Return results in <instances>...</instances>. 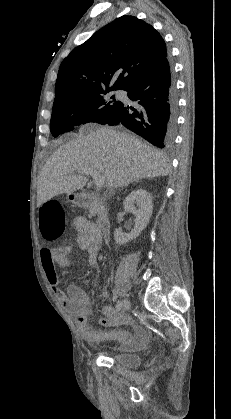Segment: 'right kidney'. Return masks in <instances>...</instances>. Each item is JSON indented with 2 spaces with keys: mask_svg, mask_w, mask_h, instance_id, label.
<instances>
[{
  "mask_svg": "<svg viewBox=\"0 0 231 419\" xmlns=\"http://www.w3.org/2000/svg\"><path fill=\"white\" fill-rule=\"evenodd\" d=\"M135 204L138 208L135 207ZM123 207L125 211L135 216V226L129 234L123 233L121 229L115 230L114 240L119 245L136 239L141 234V231L147 227L153 210L152 196L142 188L133 190L125 198Z\"/></svg>",
  "mask_w": 231,
  "mask_h": 419,
  "instance_id": "obj_1",
  "label": "right kidney"
}]
</instances>
